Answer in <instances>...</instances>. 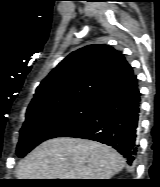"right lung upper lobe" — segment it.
<instances>
[{"mask_svg":"<svg viewBox=\"0 0 160 187\" xmlns=\"http://www.w3.org/2000/svg\"><path fill=\"white\" fill-rule=\"evenodd\" d=\"M133 73L123 54L112 47L85 46L69 54L40 83L28 109L76 99L99 100Z\"/></svg>","mask_w":160,"mask_h":187,"instance_id":"cb5924a9","label":"right lung upper lobe"}]
</instances>
